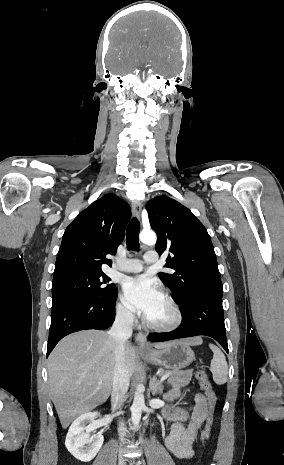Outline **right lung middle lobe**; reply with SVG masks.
I'll use <instances>...</instances> for the list:
<instances>
[{
  "instance_id": "right-lung-middle-lobe-1",
  "label": "right lung middle lobe",
  "mask_w": 284,
  "mask_h": 465,
  "mask_svg": "<svg viewBox=\"0 0 284 465\" xmlns=\"http://www.w3.org/2000/svg\"><path fill=\"white\" fill-rule=\"evenodd\" d=\"M104 273L73 274L53 280L52 307L73 297H107L117 289Z\"/></svg>"
}]
</instances>
